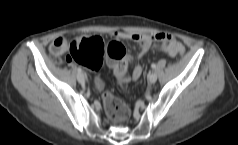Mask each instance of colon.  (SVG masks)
<instances>
[{"label":"colon","mask_w":238,"mask_h":145,"mask_svg":"<svg viewBox=\"0 0 238 145\" xmlns=\"http://www.w3.org/2000/svg\"><path fill=\"white\" fill-rule=\"evenodd\" d=\"M160 47L175 58L180 57L184 52L183 48L170 42H163ZM105 56L109 58L119 81L126 82L128 62L126 49L122 43L110 41L105 44L99 37H76L71 41L70 59L88 69L99 70L104 63ZM95 84L102 91L104 109L109 118L116 122L127 120L130 116V109L126 103L108 90H104L100 81H96Z\"/></svg>","instance_id":"colon-1"}]
</instances>
